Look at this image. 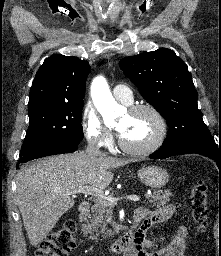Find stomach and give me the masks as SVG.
Here are the masks:
<instances>
[{"mask_svg":"<svg viewBox=\"0 0 221 256\" xmlns=\"http://www.w3.org/2000/svg\"><path fill=\"white\" fill-rule=\"evenodd\" d=\"M137 173L141 182L153 189H159L169 181L168 172L160 167H142Z\"/></svg>","mask_w":221,"mask_h":256,"instance_id":"stomach-1","label":"stomach"}]
</instances>
